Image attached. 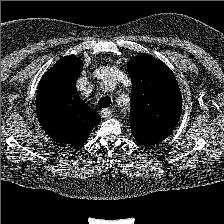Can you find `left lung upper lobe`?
Here are the masks:
<instances>
[{"label":"left lung upper lobe","instance_id":"1","mask_svg":"<svg viewBox=\"0 0 224 224\" xmlns=\"http://www.w3.org/2000/svg\"><path fill=\"white\" fill-rule=\"evenodd\" d=\"M128 69L132 81L131 131L159 143L173 132L181 116L182 97L176 78L150 55L135 58Z\"/></svg>","mask_w":224,"mask_h":224}]
</instances>
